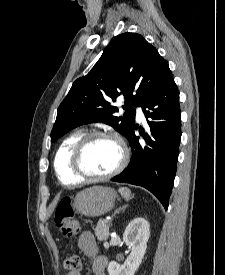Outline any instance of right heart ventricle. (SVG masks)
<instances>
[{
  "label": "right heart ventricle",
  "mask_w": 225,
  "mask_h": 275,
  "mask_svg": "<svg viewBox=\"0 0 225 275\" xmlns=\"http://www.w3.org/2000/svg\"><path fill=\"white\" fill-rule=\"evenodd\" d=\"M84 135L83 131H75L68 135L59 145L54 158V171L58 180L65 185L78 184L82 180L71 170L70 156L76 142Z\"/></svg>",
  "instance_id": "1"
}]
</instances>
